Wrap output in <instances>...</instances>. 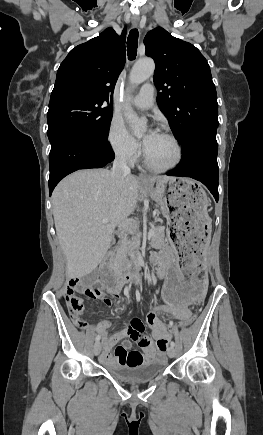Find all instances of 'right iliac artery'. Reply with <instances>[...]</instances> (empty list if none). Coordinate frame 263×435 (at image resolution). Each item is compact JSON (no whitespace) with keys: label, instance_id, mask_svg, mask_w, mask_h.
<instances>
[{"label":"right iliac artery","instance_id":"1","mask_svg":"<svg viewBox=\"0 0 263 435\" xmlns=\"http://www.w3.org/2000/svg\"><path fill=\"white\" fill-rule=\"evenodd\" d=\"M100 338H101V337H100L99 335H97L96 338H95V340H96V341H99Z\"/></svg>","mask_w":263,"mask_h":435}]
</instances>
